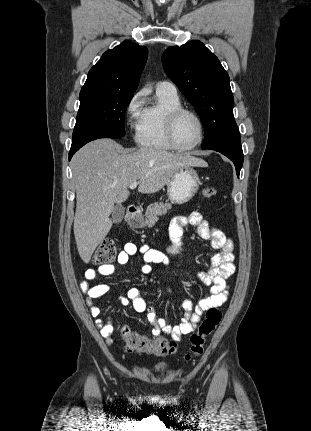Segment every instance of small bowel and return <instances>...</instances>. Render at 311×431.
<instances>
[{
  "mask_svg": "<svg viewBox=\"0 0 311 431\" xmlns=\"http://www.w3.org/2000/svg\"><path fill=\"white\" fill-rule=\"evenodd\" d=\"M190 225L196 227L198 235L202 239L209 240L212 248L217 250V253L211 258L209 267L198 274V277L204 283L211 286L210 295L201 299L195 307H193L191 301L185 300L182 304L184 318L175 326L168 323L163 318H158L154 308L147 307L141 295V291L138 288H131L124 295L119 297L121 303L124 305L130 304L136 314L146 315L147 319L154 326L152 331L153 335H158L162 331L171 334L174 341H179L183 335L192 332L199 323L203 312L210 308L219 307L226 302L229 288L227 278L235 271L234 245L232 241L229 240L221 230L210 228L202 214L195 211L188 216L179 215L172 219L169 226V235L172 245L169 248L168 254L151 249L146 245L138 247L132 242H127L117 257V263L124 265L128 263L131 256L138 252L141 253V271L143 274H150L153 264L169 266V255H175L179 252L184 229ZM115 270L116 268L112 264L101 265L97 269H88L85 272V279L80 283V288L86 296L85 302L89 307L90 314L95 318L96 326L108 344L114 343L112 339L114 331L113 326L100 318L101 310L96 305L95 300L106 294L110 290V287L107 284L92 286L90 281L95 279L97 275H112ZM168 291H170V288H168Z\"/></svg>",
  "mask_w": 311,
  "mask_h": 431,
  "instance_id": "small-bowel-1",
  "label": "small bowel"
}]
</instances>
